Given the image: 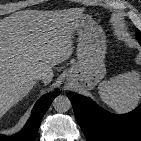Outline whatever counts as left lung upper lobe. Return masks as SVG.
Segmentation results:
<instances>
[{
    "mask_svg": "<svg viewBox=\"0 0 141 141\" xmlns=\"http://www.w3.org/2000/svg\"><path fill=\"white\" fill-rule=\"evenodd\" d=\"M141 36V32L139 30H136V37Z\"/></svg>",
    "mask_w": 141,
    "mask_h": 141,
    "instance_id": "5c2ea615",
    "label": "left lung upper lobe"
}]
</instances>
